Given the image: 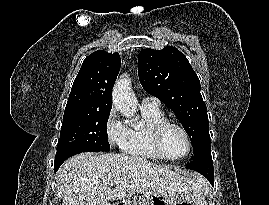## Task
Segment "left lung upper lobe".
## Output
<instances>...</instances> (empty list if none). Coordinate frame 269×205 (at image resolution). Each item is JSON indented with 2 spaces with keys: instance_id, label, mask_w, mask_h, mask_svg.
I'll return each instance as SVG.
<instances>
[{
  "instance_id": "left-lung-upper-lobe-1",
  "label": "left lung upper lobe",
  "mask_w": 269,
  "mask_h": 205,
  "mask_svg": "<svg viewBox=\"0 0 269 205\" xmlns=\"http://www.w3.org/2000/svg\"><path fill=\"white\" fill-rule=\"evenodd\" d=\"M138 74L143 88L178 117L193 144L191 160L211 150L207 108L188 59L175 47L147 48L139 53Z\"/></svg>"
}]
</instances>
